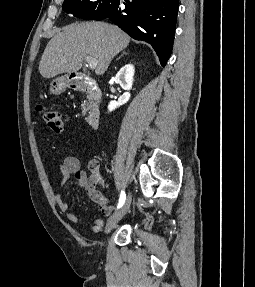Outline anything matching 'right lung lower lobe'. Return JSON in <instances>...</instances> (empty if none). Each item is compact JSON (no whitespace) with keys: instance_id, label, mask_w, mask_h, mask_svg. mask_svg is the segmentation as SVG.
<instances>
[{"instance_id":"obj_1","label":"right lung lower lobe","mask_w":255,"mask_h":287,"mask_svg":"<svg viewBox=\"0 0 255 287\" xmlns=\"http://www.w3.org/2000/svg\"><path fill=\"white\" fill-rule=\"evenodd\" d=\"M178 1L125 0V9L118 6L106 18L132 38L149 43L165 66L173 46Z\"/></svg>"}]
</instances>
